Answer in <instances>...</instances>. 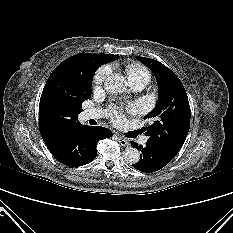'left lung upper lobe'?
Listing matches in <instances>:
<instances>
[{"instance_id":"left-lung-upper-lobe-1","label":"left lung upper lobe","mask_w":233,"mask_h":233,"mask_svg":"<svg viewBox=\"0 0 233 233\" xmlns=\"http://www.w3.org/2000/svg\"><path fill=\"white\" fill-rule=\"evenodd\" d=\"M155 75L159 95L155 108L144 117L152 124L144 127L148 142L175 156L184 144L190 127V105L180 79L157 60L136 57Z\"/></svg>"}]
</instances>
